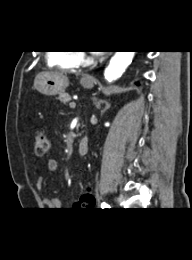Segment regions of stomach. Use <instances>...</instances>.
Here are the masks:
<instances>
[{
    "label": "stomach",
    "instance_id": "obj_1",
    "mask_svg": "<svg viewBox=\"0 0 192 260\" xmlns=\"http://www.w3.org/2000/svg\"><path fill=\"white\" fill-rule=\"evenodd\" d=\"M95 81L81 80V84L86 89H91ZM69 86L68 78L63 73L44 72L36 76L34 81L35 89L43 95L55 96L65 92Z\"/></svg>",
    "mask_w": 192,
    "mask_h": 260
}]
</instances>
